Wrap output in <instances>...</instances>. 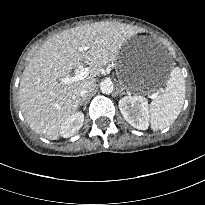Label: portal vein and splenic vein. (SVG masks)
Masks as SVG:
<instances>
[{"instance_id": "1", "label": "portal vein and splenic vein", "mask_w": 205, "mask_h": 205, "mask_svg": "<svg viewBox=\"0 0 205 205\" xmlns=\"http://www.w3.org/2000/svg\"><path fill=\"white\" fill-rule=\"evenodd\" d=\"M87 47H80L79 51H86ZM90 73L89 68H81L73 77H63L60 79L62 84H71L76 81L85 79ZM152 97H156V94H152Z\"/></svg>"}]
</instances>
